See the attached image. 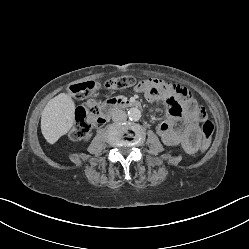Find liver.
<instances>
[{"mask_svg": "<svg viewBox=\"0 0 249 249\" xmlns=\"http://www.w3.org/2000/svg\"><path fill=\"white\" fill-rule=\"evenodd\" d=\"M75 103L70 96L60 93L45 106L41 116V132L50 144L65 135L74 124Z\"/></svg>", "mask_w": 249, "mask_h": 249, "instance_id": "obj_1", "label": "liver"}]
</instances>
